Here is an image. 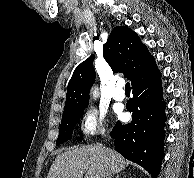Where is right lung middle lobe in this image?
Returning <instances> with one entry per match:
<instances>
[{
  "label": "right lung middle lobe",
  "instance_id": "1",
  "mask_svg": "<svg viewBox=\"0 0 194 178\" xmlns=\"http://www.w3.org/2000/svg\"><path fill=\"white\" fill-rule=\"evenodd\" d=\"M83 110L84 107L63 114L56 145L71 139L74 126L82 116Z\"/></svg>",
  "mask_w": 194,
  "mask_h": 178
}]
</instances>
